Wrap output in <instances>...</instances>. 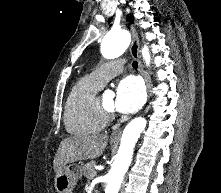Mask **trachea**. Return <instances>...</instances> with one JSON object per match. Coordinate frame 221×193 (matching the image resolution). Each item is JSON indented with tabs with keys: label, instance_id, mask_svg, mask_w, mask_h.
I'll list each match as a JSON object with an SVG mask.
<instances>
[{
	"label": "trachea",
	"instance_id": "obj_1",
	"mask_svg": "<svg viewBox=\"0 0 221 193\" xmlns=\"http://www.w3.org/2000/svg\"><path fill=\"white\" fill-rule=\"evenodd\" d=\"M132 66H133V68H137L138 67V62L134 61Z\"/></svg>",
	"mask_w": 221,
	"mask_h": 193
}]
</instances>
